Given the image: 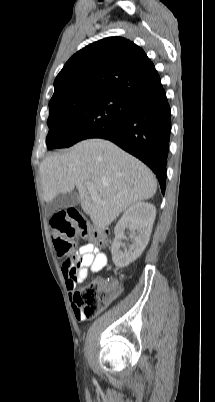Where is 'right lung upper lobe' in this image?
<instances>
[{
	"instance_id": "cb5924a9",
	"label": "right lung upper lobe",
	"mask_w": 215,
	"mask_h": 402,
	"mask_svg": "<svg viewBox=\"0 0 215 402\" xmlns=\"http://www.w3.org/2000/svg\"><path fill=\"white\" fill-rule=\"evenodd\" d=\"M54 89L51 100L111 94L134 101L163 87L140 47L122 37H108L74 54L57 75Z\"/></svg>"
}]
</instances>
